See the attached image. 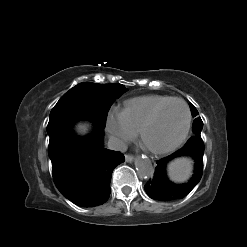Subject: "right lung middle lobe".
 Wrapping results in <instances>:
<instances>
[{"mask_svg": "<svg viewBox=\"0 0 247 247\" xmlns=\"http://www.w3.org/2000/svg\"><path fill=\"white\" fill-rule=\"evenodd\" d=\"M128 89L122 84L80 83L65 93L50 113L56 115L77 113L91 117L105 127L111 104Z\"/></svg>", "mask_w": 247, "mask_h": 247, "instance_id": "obj_1", "label": "right lung middle lobe"}]
</instances>
